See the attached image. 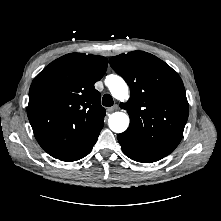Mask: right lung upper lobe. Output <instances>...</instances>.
<instances>
[{
  "instance_id": "obj_1",
  "label": "right lung upper lobe",
  "mask_w": 221,
  "mask_h": 221,
  "mask_svg": "<svg viewBox=\"0 0 221 221\" xmlns=\"http://www.w3.org/2000/svg\"><path fill=\"white\" fill-rule=\"evenodd\" d=\"M107 64L103 56L71 53L33 80L27 114L36 140L52 157L78 150L104 125L105 109L94 84Z\"/></svg>"
}]
</instances>
